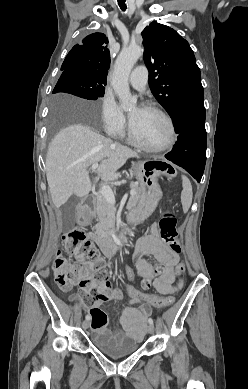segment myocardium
<instances>
[{
  "mask_svg": "<svg viewBox=\"0 0 248 389\" xmlns=\"http://www.w3.org/2000/svg\"><path fill=\"white\" fill-rule=\"evenodd\" d=\"M143 108H146V109H149L151 111L156 112L166 121L168 128H169L168 140L163 145L156 146V147L145 145L135 135L131 121L129 120L128 136H129L130 141L135 146H137L141 150L148 152V153H161V152H164V151L170 149L175 144L176 138H177L176 128H175V124L173 122V119L170 117V115L166 111H164L161 107H159L158 105H156L154 103H145L143 105Z\"/></svg>",
  "mask_w": 248,
  "mask_h": 389,
  "instance_id": "myocardium-1",
  "label": "myocardium"
}]
</instances>
